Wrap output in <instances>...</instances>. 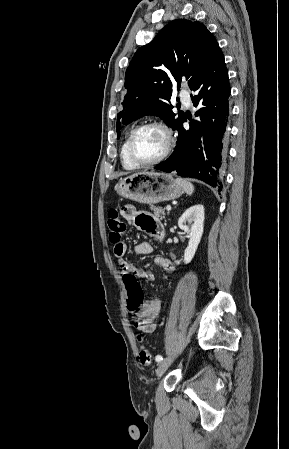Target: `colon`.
<instances>
[{
    "label": "colon",
    "instance_id": "colon-1",
    "mask_svg": "<svg viewBox=\"0 0 289 449\" xmlns=\"http://www.w3.org/2000/svg\"><path fill=\"white\" fill-rule=\"evenodd\" d=\"M108 228H109V240L113 244L117 245L121 242L122 237L126 231V224L122 220L120 213L116 209H111L108 213ZM127 291H128V307L134 314L135 322L138 320V313L142 305L143 293L142 289L136 280L132 276H126L124 279ZM139 342H142V336L137 337ZM138 358L144 365L151 363V355L145 346H140L138 351Z\"/></svg>",
    "mask_w": 289,
    "mask_h": 449
}]
</instances>
